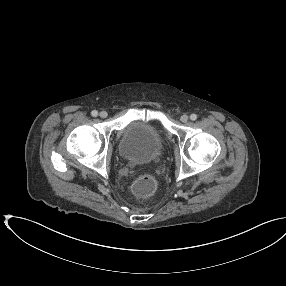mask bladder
I'll return each instance as SVG.
<instances>
[{"label":"bladder","instance_id":"bladder-1","mask_svg":"<svg viewBox=\"0 0 286 286\" xmlns=\"http://www.w3.org/2000/svg\"><path fill=\"white\" fill-rule=\"evenodd\" d=\"M163 148L164 142L160 129L151 122L129 124L119 142L120 156L135 165L158 160Z\"/></svg>","mask_w":286,"mask_h":286}]
</instances>
